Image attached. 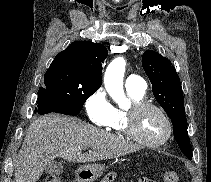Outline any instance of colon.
Returning <instances> with one entry per match:
<instances>
[{
  "label": "colon",
  "instance_id": "obj_1",
  "mask_svg": "<svg viewBox=\"0 0 211 182\" xmlns=\"http://www.w3.org/2000/svg\"><path fill=\"white\" fill-rule=\"evenodd\" d=\"M177 174L172 171H166L163 173V179L165 182H176L177 181ZM116 178V174L114 172H109L101 182H113ZM46 182H62V180L57 176H49L46 179Z\"/></svg>",
  "mask_w": 211,
  "mask_h": 182
}]
</instances>
